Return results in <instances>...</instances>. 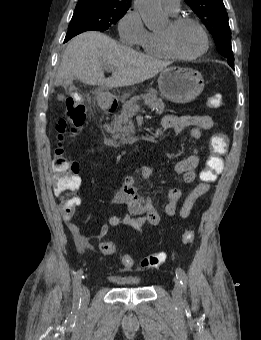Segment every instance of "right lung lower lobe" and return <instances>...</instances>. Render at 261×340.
Segmentation results:
<instances>
[{
    "label": "right lung lower lobe",
    "instance_id": "right-lung-lower-lobe-1",
    "mask_svg": "<svg viewBox=\"0 0 261 340\" xmlns=\"http://www.w3.org/2000/svg\"><path fill=\"white\" fill-rule=\"evenodd\" d=\"M85 31H88V30H86V29H72V30H68V32L66 34V37H65V40H64V43L67 42L68 40H70L72 37L76 36L77 34L85 32Z\"/></svg>",
    "mask_w": 261,
    "mask_h": 340
}]
</instances>
